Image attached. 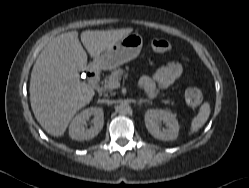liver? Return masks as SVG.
I'll list each match as a JSON object with an SVG mask.
<instances>
[{
    "mask_svg": "<svg viewBox=\"0 0 249 188\" xmlns=\"http://www.w3.org/2000/svg\"><path fill=\"white\" fill-rule=\"evenodd\" d=\"M132 28L95 30L81 33V42L91 57L97 58ZM87 64L77 31L52 39L38 56L30 78V103L35 118L52 136H62L73 116L90 103L95 91L79 80Z\"/></svg>",
    "mask_w": 249,
    "mask_h": 188,
    "instance_id": "1",
    "label": "liver"
}]
</instances>
